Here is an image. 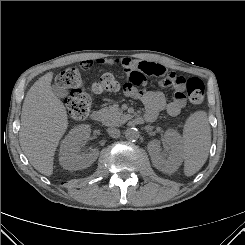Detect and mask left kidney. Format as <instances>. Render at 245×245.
<instances>
[{
	"instance_id": "left-kidney-1",
	"label": "left kidney",
	"mask_w": 245,
	"mask_h": 245,
	"mask_svg": "<svg viewBox=\"0 0 245 245\" xmlns=\"http://www.w3.org/2000/svg\"><path fill=\"white\" fill-rule=\"evenodd\" d=\"M167 153L161 152L160 141L154 139L148 143L147 149L153 165L166 173L174 172L183 160V145L179 133L168 129L162 139Z\"/></svg>"
}]
</instances>
